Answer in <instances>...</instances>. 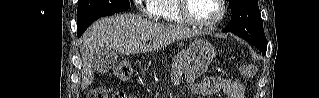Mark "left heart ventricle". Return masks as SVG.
I'll return each mask as SVG.
<instances>
[{
  "label": "left heart ventricle",
  "mask_w": 319,
  "mask_h": 98,
  "mask_svg": "<svg viewBox=\"0 0 319 98\" xmlns=\"http://www.w3.org/2000/svg\"><path fill=\"white\" fill-rule=\"evenodd\" d=\"M187 7L190 15L200 21H212L220 13L217 0H189Z\"/></svg>",
  "instance_id": "obj_1"
}]
</instances>
